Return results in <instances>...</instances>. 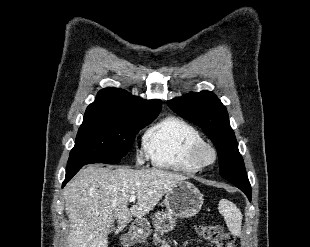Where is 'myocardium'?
Listing matches in <instances>:
<instances>
[{
	"label": "myocardium",
	"instance_id": "f54148a6",
	"mask_svg": "<svg viewBox=\"0 0 310 247\" xmlns=\"http://www.w3.org/2000/svg\"><path fill=\"white\" fill-rule=\"evenodd\" d=\"M204 150H209L212 154V159L209 162H204L201 160V154ZM189 159L194 166L198 169L206 168L213 165L217 160V151L215 147L206 141H200L195 143L189 151Z\"/></svg>",
	"mask_w": 310,
	"mask_h": 247
}]
</instances>
